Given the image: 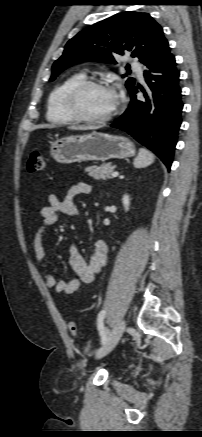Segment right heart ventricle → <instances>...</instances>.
Masks as SVG:
<instances>
[{"label":"right heart ventricle","mask_w":202,"mask_h":437,"mask_svg":"<svg viewBox=\"0 0 202 437\" xmlns=\"http://www.w3.org/2000/svg\"><path fill=\"white\" fill-rule=\"evenodd\" d=\"M85 79L82 73H76L58 84L50 93L47 101L46 117L53 124L63 125L75 120L68 115L64 108V97L68 90L79 81Z\"/></svg>","instance_id":"e07e8e85"}]
</instances>
